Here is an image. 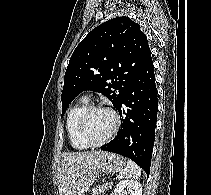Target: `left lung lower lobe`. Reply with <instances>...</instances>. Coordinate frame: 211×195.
<instances>
[{"instance_id": "left-lung-lower-lobe-1", "label": "left lung lower lobe", "mask_w": 211, "mask_h": 195, "mask_svg": "<svg viewBox=\"0 0 211 195\" xmlns=\"http://www.w3.org/2000/svg\"><path fill=\"white\" fill-rule=\"evenodd\" d=\"M153 61L150 60L129 87L118 107L121 129L101 148L124 155L150 173L158 99Z\"/></svg>"}]
</instances>
